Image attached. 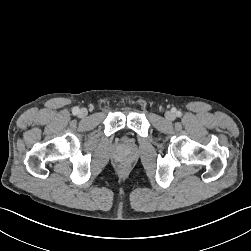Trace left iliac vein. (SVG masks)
Listing matches in <instances>:
<instances>
[{"label":"left iliac vein","instance_id":"left-iliac-vein-1","mask_svg":"<svg viewBox=\"0 0 251 251\" xmlns=\"http://www.w3.org/2000/svg\"><path fill=\"white\" fill-rule=\"evenodd\" d=\"M165 117L167 120L171 121L175 118V115L172 112L168 111L166 112Z\"/></svg>","mask_w":251,"mask_h":251}]
</instances>
